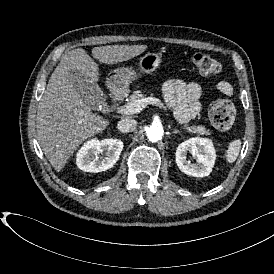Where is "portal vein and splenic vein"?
I'll use <instances>...</instances> for the list:
<instances>
[{"mask_svg":"<svg viewBox=\"0 0 274 274\" xmlns=\"http://www.w3.org/2000/svg\"><path fill=\"white\" fill-rule=\"evenodd\" d=\"M150 99V97L141 98L135 100L132 103H128L127 105L121 106L119 113H124L127 115L140 113L143 108L150 104Z\"/></svg>","mask_w":274,"mask_h":274,"instance_id":"portal-vein-and-splenic-vein-1","label":"portal vein and splenic vein"}]
</instances>
